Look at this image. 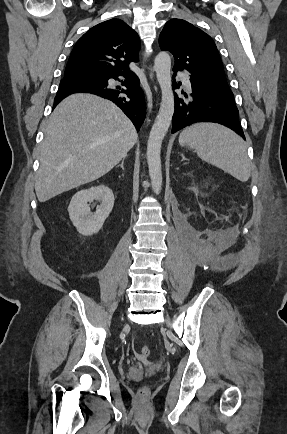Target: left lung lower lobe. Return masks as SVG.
<instances>
[{
	"mask_svg": "<svg viewBox=\"0 0 287 434\" xmlns=\"http://www.w3.org/2000/svg\"><path fill=\"white\" fill-rule=\"evenodd\" d=\"M176 72L178 69L173 68ZM175 74L173 75V79ZM192 93L190 101L175 94V111L172 118V133L197 122H215L234 130L245 139L239 123L238 109L231 90L208 83L197 75H190ZM181 82H173L179 88ZM185 97H188L184 94Z\"/></svg>",
	"mask_w": 287,
	"mask_h": 434,
	"instance_id": "0a47b994",
	"label": "left lung lower lobe"
}]
</instances>
